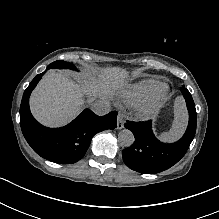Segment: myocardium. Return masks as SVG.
Instances as JSON below:
<instances>
[{"mask_svg": "<svg viewBox=\"0 0 219 219\" xmlns=\"http://www.w3.org/2000/svg\"><path fill=\"white\" fill-rule=\"evenodd\" d=\"M168 97V87L160 86L152 95L146 104L147 112L151 111L154 107L158 106L161 102L165 101Z\"/></svg>", "mask_w": 219, "mask_h": 219, "instance_id": "1", "label": "myocardium"}]
</instances>
